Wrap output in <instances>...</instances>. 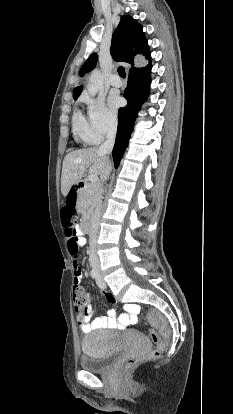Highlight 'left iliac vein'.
<instances>
[{"instance_id":"1","label":"left iliac vein","mask_w":233,"mask_h":414,"mask_svg":"<svg viewBox=\"0 0 233 414\" xmlns=\"http://www.w3.org/2000/svg\"><path fill=\"white\" fill-rule=\"evenodd\" d=\"M96 283H97V285H98L100 288H102V289L106 288V283H105V281L103 280V277H102V275L100 274V272H98L97 279H96Z\"/></svg>"}]
</instances>
